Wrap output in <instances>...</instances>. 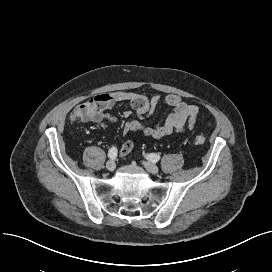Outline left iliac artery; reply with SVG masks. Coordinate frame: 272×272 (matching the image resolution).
Listing matches in <instances>:
<instances>
[{"label": "left iliac artery", "instance_id": "44dca946", "mask_svg": "<svg viewBox=\"0 0 272 272\" xmlns=\"http://www.w3.org/2000/svg\"><path fill=\"white\" fill-rule=\"evenodd\" d=\"M146 158L148 160L152 161L153 163H156L157 161L160 160V156L158 154H155V153L148 154L146 156Z\"/></svg>", "mask_w": 272, "mask_h": 272}]
</instances>
